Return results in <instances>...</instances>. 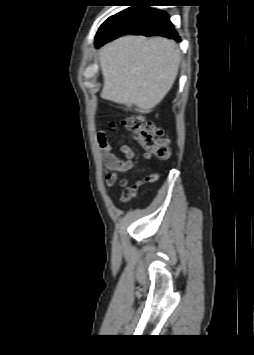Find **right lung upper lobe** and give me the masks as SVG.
<instances>
[{
    "mask_svg": "<svg viewBox=\"0 0 254 355\" xmlns=\"http://www.w3.org/2000/svg\"><path fill=\"white\" fill-rule=\"evenodd\" d=\"M128 1H143V0H128Z\"/></svg>",
    "mask_w": 254,
    "mask_h": 355,
    "instance_id": "obj_1",
    "label": "right lung upper lobe"
}]
</instances>
